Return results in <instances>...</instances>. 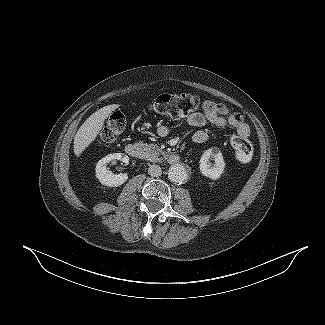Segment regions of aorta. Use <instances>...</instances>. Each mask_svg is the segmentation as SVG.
<instances>
[{"mask_svg":"<svg viewBox=\"0 0 325 325\" xmlns=\"http://www.w3.org/2000/svg\"><path fill=\"white\" fill-rule=\"evenodd\" d=\"M168 178L176 184L183 183L188 178L186 168L181 164H174L169 168Z\"/></svg>","mask_w":325,"mask_h":325,"instance_id":"obj_1","label":"aorta"}]
</instances>
